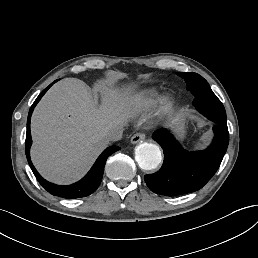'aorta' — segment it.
Wrapping results in <instances>:
<instances>
[{
  "label": "aorta",
  "instance_id": "obj_1",
  "mask_svg": "<svg viewBox=\"0 0 258 258\" xmlns=\"http://www.w3.org/2000/svg\"><path fill=\"white\" fill-rule=\"evenodd\" d=\"M135 159L143 170L156 169L162 161L161 150L156 144H139L135 149Z\"/></svg>",
  "mask_w": 258,
  "mask_h": 258
}]
</instances>
